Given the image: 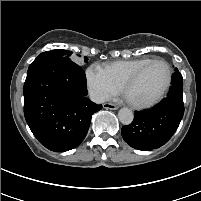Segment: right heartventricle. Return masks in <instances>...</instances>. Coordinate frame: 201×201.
I'll return each mask as SVG.
<instances>
[{"label": "right heart ventricle", "mask_w": 201, "mask_h": 201, "mask_svg": "<svg viewBox=\"0 0 201 201\" xmlns=\"http://www.w3.org/2000/svg\"><path fill=\"white\" fill-rule=\"evenodd\" d=\"M152 60L150 57H143L133 60H120L105 65L104 69L110 75L112 80L122 87L124 81L139 67Z\"/></svg>", "instance_id": "obj_1"}]
</instances>
